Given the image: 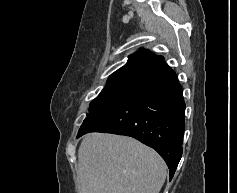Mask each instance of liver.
Listing matches in <instances>:
<instances>
[{"instance_id": "obj_1", "label": "liver", "mask_w": 237, "mask_h": 193, "mask_svg": "<svg viewBox=\"0 0 237 193\" xmlns=\"http://www.w3.org/2000/svg\"><path fill=\"white\" fill-rule=\"evenodd\" d=\"M166 170L156 151L128 136L90 133L78 150L79 193H159Z\"/></svg>"}]
</instances>
